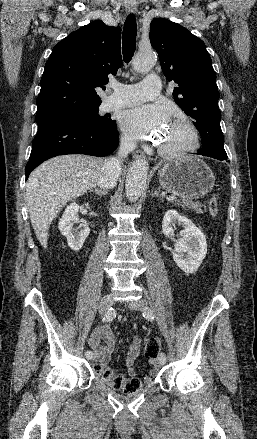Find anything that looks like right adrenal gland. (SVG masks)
<instances>
[{
    "mask_svg": "<svg viewBox=\"0 0 257 439\" xmlns=\"http://www.w3.org/2000/svg\"><path fill=\"white\" fill-rule=\"evenodd\" d=\"M91 192H95V194L96 195H98V196H104V195H106V193H107V191L106 190H102V189H97V188H92L91 190H90Z\"/></svg>",
    "mask_w": 257,
    "mask_h": 439,
    "instance_id": "1",
    "label": "right adrenal gland"
}]
</instances>
